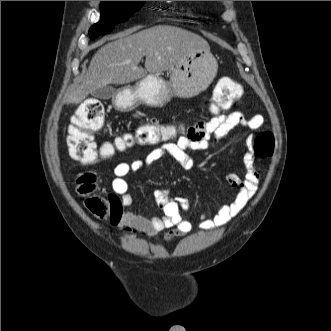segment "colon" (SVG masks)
Wrapping results in <instances>:
<instances>
[{
	"instance_id": "1",
	"label": "colon",
	"mask_w": 331,
	"mask_h": 331,
	"mask_svg": "<svg viewBox=\"0 0 331 331\" xmlns=\"http://www.w3.org/2000/svg\"><path fill=\"white\" fill-rule=\"evenodd\" d=\"M244 94V88L230 78H222L216 85L212 111L218 114L233 106ZM104 107L97 99H87L76 110L69 128L67 144L73 159L83 164H95L108 159L117 151H124L134 145H154L169 142L176 129L151 121L140 125L133 133H126L112 143L98 146L92 132L104 124ZM274 137L271 132H261L255 139L254 151L260 157H267L273 152ZM78 192L87 196L85 205L95 216L103 217L109 210L118 209L120 201L113 195L102 197L94 194L96 178L93 173L82 174L77 181Z\"/></svg>"
}]
</instances>
